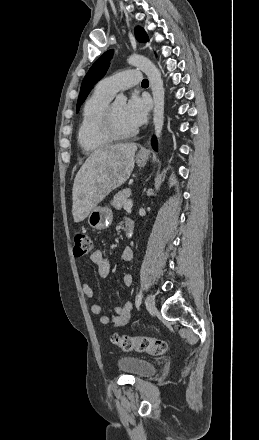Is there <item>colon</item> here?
<instances>
[{
  "mask_svg": "<svg viewBox=\"0 0 259 440\" xmlns=\"http://www.w3.org/2000/svg\"><path fill=\"white\" fill-rule=\"evenodd\" d=\"M74 242L75 256L81 257L93 252V242L88 235L78 233L75 236ZM112 343L124 351L136 350L155 356L163 355L168 350V344L164 340L146 336L130 337L115 334L112 336Z\"/></svg>",
  "mask_w": 259,
  "mask_h": 440,
  "instance_id": "obj_1",
  "label": "colon"
}]
</instances>
